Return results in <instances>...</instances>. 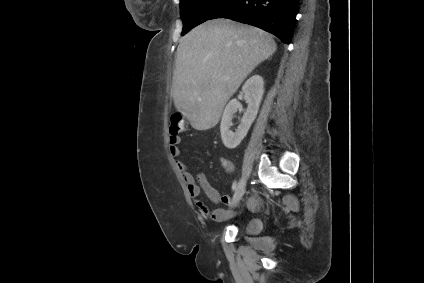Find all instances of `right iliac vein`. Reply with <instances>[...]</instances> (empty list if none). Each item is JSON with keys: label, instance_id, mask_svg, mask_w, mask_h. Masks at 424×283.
Masks as SVG:
<instances>
[{"label": "right iliac vein", "instance_id": "1", "mask_svg": "<svg viewBox=\"0 0 424 283\" xmlns=\"http://www.w3.org/2000/svg\"><path fill=\"white\" fill-rule=\"evenodd\" d=\"M245 186H246L245 180H244V178H242L240 180L237 188H236L235 193H234L233 200H232V206H236L239 203V201L242 199V197L245 193Z\"/></svg>", "mask_w": 424, "mask_h": 283}]
</instances>
